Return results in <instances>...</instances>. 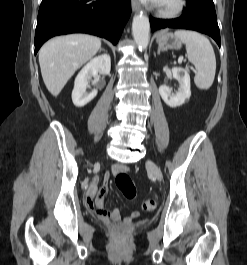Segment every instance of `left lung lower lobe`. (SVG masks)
I'll list each match as a JSON object with an SVG mask.
<instances>
[{
    "mask_svg": "<svg viewBox=\"0 0 247 265\" xmlns=\"http://www.w3.org/2000/svg\"><path fill=\"white\" fill-rule=\"evenodd\" d=\"M151 30L161 28H184L196 30L211 36L220 47V32L212 0H187L184 14L176 19H156L150 17Z\"/></svg>",
    "mask_w": 247,
    "mask_h": 265,
    "instance_id": "obj_1",
    "label": "left lung lower lobe"
}]
</instances>
